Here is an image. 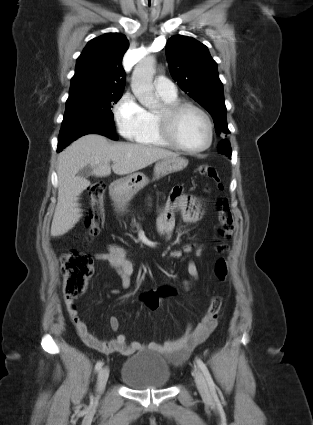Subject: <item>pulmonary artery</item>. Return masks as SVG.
<instances>
[{
  "instance_id": "pulmonary-artery-1",
  "label": "pulmonary artery",
  "mask_w": 313,
  "mask_h": 425,
  "mask_svg": "<svg viewBox=\"0 0 313 425\" xmlns=\"http://www.w3.org/2000/svg\"><path fill=\"white\" fill-rule=\"evenodd\" d=\"M156 92L164 97L173 98L177 96L174 83L166 77H157L154 81Z\"/></svg>"
}]
</instances>
